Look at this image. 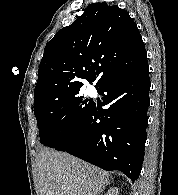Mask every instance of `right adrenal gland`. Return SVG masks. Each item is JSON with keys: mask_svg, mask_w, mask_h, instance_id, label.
Wrapping results in <instances>:
<instances>
[{"mask_svg": "<svg viewBox=\"0 0 178 195\" xmlns=\"http://www.w3.org/2000/svg\"><path fill=\"white\" fill-rule=\"evenodd\" d=\"M108 184H110V182H109ZM105 187H106V185H105V186H103V188L100 190V192H103V191H104V189H105Z\"/></svg>", "mask_w": 178, "mask_h": 195, "instance_id": "right-adrenal-gland-1", "label": "right adrenal gland"}]
</instances>
